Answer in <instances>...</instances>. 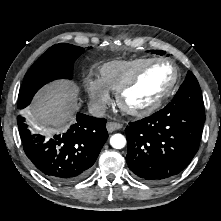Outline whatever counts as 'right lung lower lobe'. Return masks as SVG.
<instances>
[{"label": "right lung lower lobe", "mask_w": 221, "mask_h": 221, "mask_svg": "<svg viewBox=\"0 0 221 221\" xmlns=\"http://www.w3.org/2000/svg\"><path fill=\"white\" fill-rule=\"evenodd\" d=\"M17 122L27 157L44 177L59 184L84 178L108 138L106 119L82 113L66 133L46 139L33 134L24 117L18 116Z\"/></svg>", "instance_id": "1"}]
</instances>
